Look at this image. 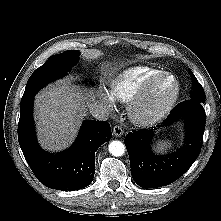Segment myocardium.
Instances as JSON below:
<instances>
[{
  "label": "myocardium",
  "mask_w": 221,
  "mask_h": 221,
  "mask_svg": "<svg viewBox=\"0 0 221 221\" xmlns=\"http://www.w3.org/2000/svg\"><path fill=\"white\" fill-rule=\"evenodd\" d=\"M169 78L174 83V88L169 96V98L162 103L159 107L150 110L144 111L143 106L147 96L149 95L153 86L159 81ZM180 94V83L175 75L169 72H160L153 77L149 78L144 84L140 87L138 92L135 94L133 99L128 104V115L130 120L137 126H150L162 118H164L172 109L176 103Z\"/></svg>",
  "instance_id": "obj_1"
}]
</instances>
